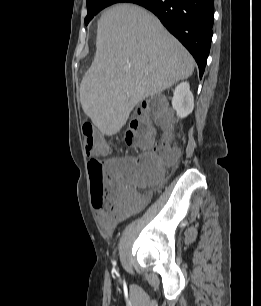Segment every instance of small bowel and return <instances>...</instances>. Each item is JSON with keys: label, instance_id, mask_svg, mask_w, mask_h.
<instances>
[{"label": "small bowel", "instance_id": "c3829d8e", "mask_svg": "<svg viewBox=\"0 0 261 306\" xmlns=\"http://www.w3.org/2000/svg\"><path fill=\"white\" fill-rule=\"evenodd\" d=\"M117 160H120V159H117V158L108 159L107 163L111 164L112 162L117 161ZM150 196H151V191H148L145 193L144 196L138 197L135 204L129 207H124L120 211H117V212H107L105 210L97 211L96 218L102 230L108 234L112 233L117 227V225L125 218V216L128 213L144 205L149 200Z\"/></svg>", "mask_w": 261, "mask_h": 306}]
</instances>
